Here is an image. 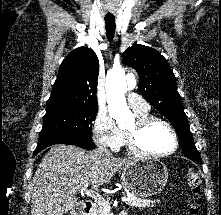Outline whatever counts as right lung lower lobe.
<instances>
[{
    "mask_svg": "<svg viewBox=\"0 0 221 215\" xmlns=\"http://www.w3.org/2000/svg\"><path fill=\"white\" fill-rule=\"evenodd\" d=\"M54 144H70L76 145L86 150H92L95 148L94 143L92 141V137L90 135H81L71 138H60L50 141H41L38 142L37 147L34 151V156L37 155L44 148L54 145Z\"/></svg>",
    "mask_w": 221,
    "mask_h": 215,
    "instance_id": "98d812e1",
    "label": "right lung lower lobe"
}]
</instances>
